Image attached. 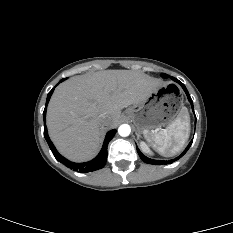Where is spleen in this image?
<instances>
[{
  "label": "spleen",
  "instance_id": "1",
  "mask_svg": "<svg viewBox=\"0 0 233 233\" xmlns=\"http://www.w3.org/2000/svg\"><path fill=\"white\" fill-rule=\"evenodd\" d=\"M190 135V116L183 107L177 117L165 128L150 133L145 132L147 142L159 154L169 157L182 150Z\"/></svg>",
  "mask_w": 233,
  "mask_h": 233
}]
</instances>
